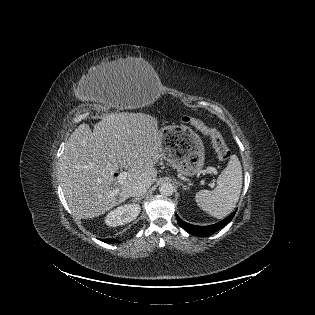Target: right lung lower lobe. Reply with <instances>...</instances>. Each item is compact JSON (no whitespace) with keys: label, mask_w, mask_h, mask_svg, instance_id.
I'll return each mask as SVG.
<instances>
[{"label":"right lung lower lobe","mask_w":315,"mask_h":315,"mask_svg":"<svg viewBox=\"0 0 315 315\" xmlns=\"http://www.w3.org/2000/svg\"><path fill=\"white\" fill-rule=\"evenodd\" d=\"M103 242H106V243H114V242H117L119 243V241H116L115 239L113 238H108V239H101Z\"/></svg>","instance_id":"obj_1"}]
</instances>
